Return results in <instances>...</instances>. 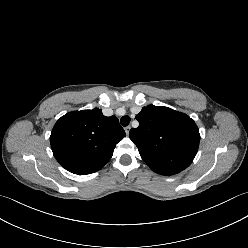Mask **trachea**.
<instances>
[{
    "label": "trachea",
    "mask_w": 248,
    "mask_h": 248,
    "mask_svg": "<svg viewBox=\"0 0 248 248\" xmlns=\"http://www.w3.org/2000/svg\"><path fill=\"white\" fill-rule=\"evenodd\" d=\"M120 123L122 126H128L129 123H130V117L128 115H125L123 116L121 119H120Z\"/></svg>",
    "instance_id": "1"
}]
</instances>
